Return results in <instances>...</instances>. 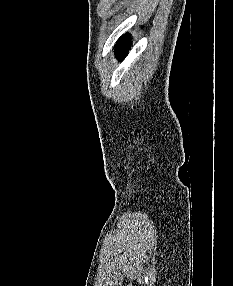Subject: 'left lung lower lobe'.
Instances as JSON below:
<instances>
[{
	"label": "left lung lower lobe",
	"instance_id": "left-lung-lower-lobe-1",
	"mask_svg": "<svg viewBox=\"0 0 233 286\" xmlns=\"http://www.w3.org/2000/svg\"><path fill=\"white\" fill-rule=\"evenodd\" d=\"M130 44L131 40L128 35H124L118 40L115 46V53L118 59L122 60L126 56L128 50L130 49Z\"/></svg>",
	"mask_w": 233,
	"mask_h": 286
}]
</instances>
